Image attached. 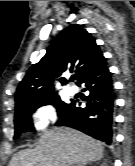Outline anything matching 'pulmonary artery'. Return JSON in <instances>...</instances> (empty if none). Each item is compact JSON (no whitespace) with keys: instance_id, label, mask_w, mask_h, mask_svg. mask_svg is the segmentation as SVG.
<instances>
[{"instance_id":"pulmonary-artery-1","label":"pulmonary artery","mask_w":135,"mask_h":166,"mask_svg":"<svg viewBox=\"0 0 135 166\" xmlns=\"http://www.w3.org/2000/svg\"><path fill=\"white\" fill-rule=\"evenodd\" d=\"M76 92H77V88H76V87H70V88L68 89V94H69L70 96H74V95L76 94Z\"/></svg>"}]
</instances>
